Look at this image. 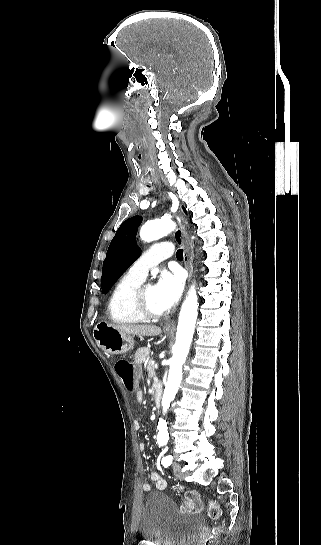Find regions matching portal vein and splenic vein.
Here are the masks:
<instances>
[{"mask_svg":"<svg viewBox=\"0 0 321 545\" xmlns=\"http://www.w3.org/2000/svg\"><path fill=\"white\" fill-rule=\"evenodd\" d=\"M154 368H155V370H158V365H157V363H154Z\"/></svg>","mask_w":321,"mask_h":545,"instance_id":"18ae733b","label":"portal vein and splenic vein"}]
</instances>
